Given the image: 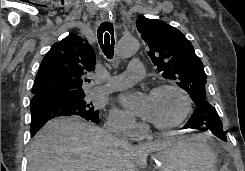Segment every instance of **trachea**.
Listing matches in <instances>:
<instances>
[{"instance_id": "1", "label": "trachea", "mask_w": 245, "mask_h": 171, "mask_svg": "<svg viewBox=\"0 0 245 171\" xmlns=\"http://www.w3.org/2000/svg\"><path fill=\"white\" fill-rule=\"evenodd\" d=\"M98 41L103 53L107 58L111 59L114 54V29L111 22H103L98 30Z\"/></svg>"}]
</instances>
